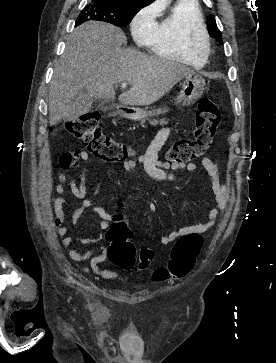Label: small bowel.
Segmentation results:
<instances>
[{"label": "small bowel", "mask_w": 276, "mask_h": 363, "mask_svg": "<svg viewBox=\"0 0 276 363\" xmlns=\"http://www.w3.org/2000/svg\"><path fill=\"white\" fill-rule=\"evenodd\" d=\"M172 133V127L162 129L156 137L152 140L147 152L132 160L121 162V166L126 171H131L137 166L141 165L146 174L157 181H179L180 173L184 170L190 172H197V167L193 164H176L166 163L159 160L158 154L162 146ZM89 160V154L82 149H75L65 151L60 155L59 166L61 172L58 174L59 183L56 185V191L59 194L70 193L74 197L83 199L81 206L76 208L71 216V222L77 224L81 216L85 211L90 210L98 216L100 222V228L105 230L111 226L112 221L115 219V215L107 212L101 206L94 203V197L98 194L100 184L97 183L90 195L87 194L86 180L87 170L85 164ZM202 164L209 176V184L213 193V206L207 213L205 221L192 225L181 227L164 234L160 238L162 245H168L176 239L191 234V233H206L211 230L217 223L220 215L224 212L228 201V189L218 177L217 165L209 158H204ZM72 171L71 176L68 172ZM78 178V179H77ZM68 182V185L64 183ZM66 204L64 198H59L56 202L57 213L63 218L64 214L62 206ZM151 212L155 211V206L150 205ZM67 226H62L59 229V236L62 238V244L64 246H70L73 244L78 245H93L99 243L103 235L101 232L94 237H76L67 235ZM69 258L75 263L88 262V267H82L81 270L88 274L94 273L97 276L106 279L113 280L120 276L117 271L102 268L101 265L107 260V249L105 246L99 245L93 247L87 251L80 252L75 249H71L68 252Z\"/></svg>", "instance_id": "obj_1"}]
</instances>
